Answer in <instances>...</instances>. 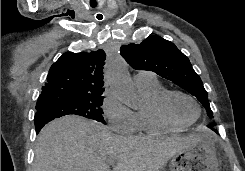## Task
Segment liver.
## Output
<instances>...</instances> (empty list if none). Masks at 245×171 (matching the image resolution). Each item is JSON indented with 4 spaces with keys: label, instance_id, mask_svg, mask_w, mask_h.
I'll return each mask as SVG.
<instances>
[{
    "label": "liver",
    "instance_id": "liver-1",
    "mask_svg": "<svg viewBox=\"0 0 245 171\" xmlns=\"http://www.w3.org/2000/svg\"><path fill=\"white\" fill-rule=\"evenodd\" d=\"M200 136H117L101 124L65 116L40 132L33 171H159Z\"/></svg>",
    "mask_w": 245,
    "mask_h": 171
}]
</instances>
